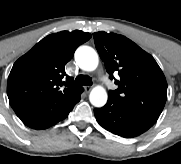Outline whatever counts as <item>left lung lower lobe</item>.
Returning a JSON list of instances; mask_svg holds the SVG:
<instances>
[{
  "instance_id": "left-lung-lower-lobe-1",
  "label": "left lung lower lobe",
  "mask_w": 181,
  "mask_h": 164,
  "mask_svg": "<svg viewBox=\"0 0 181 164\" xmlns=\"http://www.w3.org/2000/svg\"><path fill=\"white\" fill-rule=\"evenodd\" d=\"M94 115L103 128L125 138L139 136L157 121L156 118L146 113L109 98L104 107L94 109Z\"/></svg>"
}]
</instances>
